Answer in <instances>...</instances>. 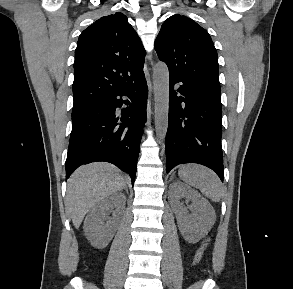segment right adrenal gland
<instances>
[{"instance_id":"1","label":"right adrenal gland","mask_w":293,"mask_h":289,"mask_svg":"<svg viewBox=\"0 0 293 289\" xmlns=\"http://www.w3.org/2000/svg\"><path fill=\"white\" fill-rule=\"evenodd\" d=\"M125 191H126V193H128V188H127V186L125 185L124 186V188H123Z\"/></svg>"}]
</instances>
